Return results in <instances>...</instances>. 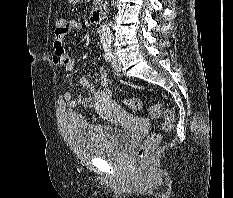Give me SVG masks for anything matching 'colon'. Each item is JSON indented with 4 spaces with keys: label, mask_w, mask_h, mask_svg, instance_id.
Wrapping results in <instances>:
<instances>
[{
    "label": "colon",
    "mask_w": 233,
    "mask_h": 198,
    "mask_svg": "<svg viewBox=\"0 0 233 198\" xmlns=\"http://www.w3.org/2000/svg\"><path fill=\"white\" fill-rule=\"evenodd\" d=\"M64 23L65 20L63 18H57L55 21V31L60 32L63 30ZM127 106L132 111H137L141 108V102L137 98H130L127 100ZM149 112L153 118L163 117V124L161 132L152 133L138 148L137 155L141 161H145L150 150L155 148L161 142L163 133L171 132L175 124L174 112L161 103L153 104L150 107Z\"/></svg>",
    "instance_id": "1"
}]
</instances>
